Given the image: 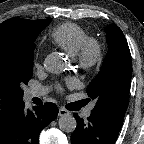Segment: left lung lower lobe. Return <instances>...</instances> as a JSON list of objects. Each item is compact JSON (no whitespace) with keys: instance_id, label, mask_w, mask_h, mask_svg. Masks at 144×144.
<instances>
[{"instance_id":"1","label":"left lung lower lobe","mask_w":144,"mask_h":144,"mask_svg":"<svg viewBox=\"0 0 144 144\" xmlns=\"http://www.w3.org/2000/svg\"><path fill=\"white\" fill-rule=\"evenodd\" d=\"M77 127L71 136V144H114L122 124L116 123L98 113L91 112L84 122L77 114H73Z\"/></svg>"}]
</instances>
